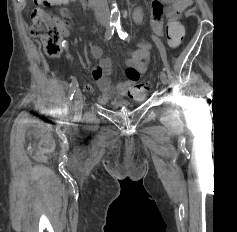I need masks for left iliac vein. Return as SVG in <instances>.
<instances>
[{
  "mask_svg": "<svg viewBox=\"0 0 237 232\" xmlns=\"http://www.w3.org/2000/svg\"><path fill=\"white\" fill-rule=\"evenodd\" d=\"M160 80L164 85H166L168 83V77H167L166 72L162 71L160 73Z\"/></svg>",
  "mask_w": 237,
  "mask_h": 232,
  "instance_id": "1",
  "label": "left iliac vein"
}]
</instances>
